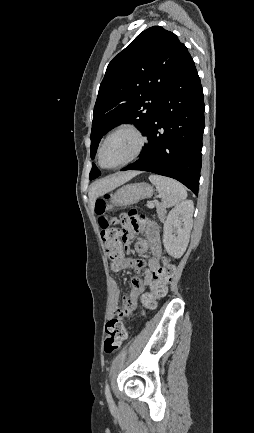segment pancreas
Wrapping results in <instances>:
<instances>
[{"instance_id":"1","label":"pancreas","mask_w":254,"mask_h":433,"mask_svg":"<svg viewBox=\"0 0 254 433\" xmlns=\"http://www.w3.org/2000/svg\"><path fill=\"white\" fill-rule=\"evenodd\" d=\"M156 210H157V214H158L159 219L164 220L166 210L160 204H156Z\"/></svg>"}]
</instances>
